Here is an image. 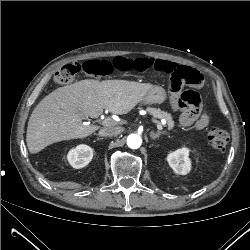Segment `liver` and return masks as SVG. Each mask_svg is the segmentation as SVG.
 I'll list each match as a JSON object with an SVG mask.
<instances>
[{"instance_id":"6515ba94","label":"liver","mask_w":250,"mask_h":250,"mask_svg":"<svg viewBox=\"0 0 250 250\" xmlns=\"http://www.w3.org/2000/svg\"><path fill=\"white\" fill-rule=\"evenodd\" d=\"M154 86L126 80H82L60 87L44 97L33 110L26 142L34 154L59 141L85 138L96 125H85L82 117L97 118L103 110L129 113Z\"/></svg>"}]
</instances>
